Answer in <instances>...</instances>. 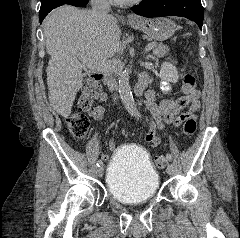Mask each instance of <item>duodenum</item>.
I'll list each match as a JSON object with an SVG mask.
<instances>
[{
    "instance_id": "410a0bca",
    "label": "duodenum",
    "mask_w": 240,
    "mask_h": 238,
    "mask_svg": "<svg viewBox=\"0 0 240 238\" xmlns=\"http://www.w3.org/2000/svg\"><path fill=\"white\" fill-rule=\"evenodd\" d=\"M104 80L109 90L113 91L116 88V83L113 76L110 73L104 74ZM149 78L146 74H143L135 87V92L137 95H142L148 85Z\"/></svg>"
}]
</instances>
